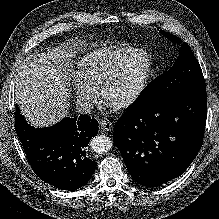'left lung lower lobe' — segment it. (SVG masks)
Listing matches in <instances>:
<instances>
[{
    "label": "left lung lower lobe",
    "instance_id": "obj_1",
    "mask_svg": "<svg viewBox=\"0 0 219 219\" xmlns=\"http://www.w3.org/2000/svg\"><path fill=\"white\" fill-rule=\"evenodd\" d=\"M206 116V89L130 105L114 126V143L132 178L158 187L183 174L202 146Z\"/></svg>",
    "mask_w": 219,
    "mask_h": 219
}]
</instances>
